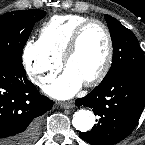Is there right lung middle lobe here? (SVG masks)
Wrapping results in <instances>:
<instances>
[{"instance_id": "right-lung-middle-lobe-1", "label": "right lung middle lobe", "mask_w": 145, "mask_h": 145, "mask_svg": "<svg viewBox=\"0 0 145 145\" xmlns=\"http://www.w3.org/2000/svg\"><path fill=\"white\" fill-rule=\"evenodd\" d=\"M45 14L43 10H23L0 16V62H22V50L30 32Z\"/></svg>"}]
</instances>
